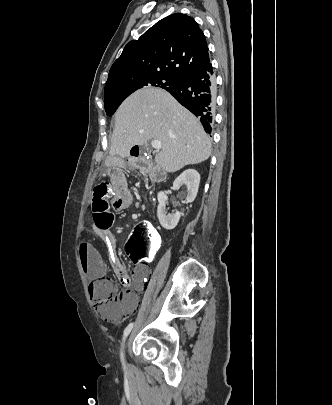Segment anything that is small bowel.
Returning <instances> with one entry per match:
<instances>
[{
	"mask_svg": "<svg viewBox=\"0 0 332 405\" xmlns=\"http://www.w3.org/2000/svg\"><path fill=\"white\" fill-rule=\"evenodd\" d=\"M107 176L111 177L114 190V196L110 199L112 210L115 215H126L127 208H129L132 203V195L127 187L126 179L124 178L126 176V169L108 168ZM98 234L108 245L109 250L114 254V267L120 281L123 284L128 285L131 290H145L147 287L146 269L144 267H136L131 274H128L119 259L116 257L117 242L115 236L109 231H98ZM79 258L81 266L90 280L94 281L105 273V263L99 251L92 244L87 242H81L79 244ZM137 306V298L133 295L127 303L125 314L122 316L132 314ZM122 316L111 320L120 321Z\"/></svg>",
	"mask_w": 332,
	"mask_h": 405,
	"instance_id": "c3829d8e",
	"label": "small bowel"
}]
</instances>
